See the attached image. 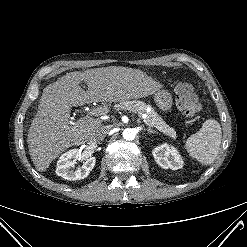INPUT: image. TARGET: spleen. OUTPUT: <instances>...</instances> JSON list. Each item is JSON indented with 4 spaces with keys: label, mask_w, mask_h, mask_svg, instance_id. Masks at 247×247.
<instances>
[{
    "label": "spleen",
    "mask_w": 247,
    "mask_h": 247,
    "mask_svg": "<svg viewBox=\"0 0 247 247\" xmlns=\"http://www.w3.org/2000/svg\"><path fill=\"white\" fill-rule=\"evenodd\" d=\"M221 138L220 124L215 119H207L202 128L187 139L185 149L201 164L209 165L218 155Z\"/></svg>",
    "instance_id": "3e777b00"
}]
</instances>
